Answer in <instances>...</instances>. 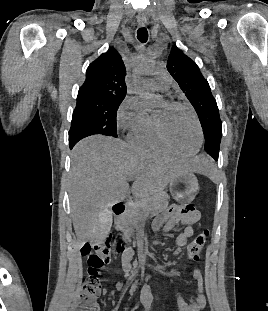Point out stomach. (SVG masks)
<instances>
[{
  "mask_svg": "<svg viewBox=\"0 0 268 311\" xmlns=\"http://www.w3.org/2000/svg\"><path fill=\"white\" fill-rule=\"evenodd\" d=\"M169 190L176 201L192 202L199 190L197 177L191 171L183 172L170 181Z\"/></svg>",
  "mask_w": 268,
  "mask_h": 311,
  "instance_id": "stomach-1",
  "label": "stomach"
}]
</instances>
